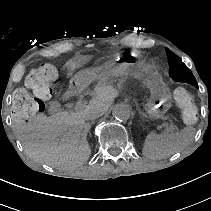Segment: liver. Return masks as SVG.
<instances>
[{
  "label": "liver",
  "mask_w": 211,
  "mask_h": 211,
  "mask_svg": "<svg viewBox=\"0 0 211 211\" xmlns=\"http://www.w3.org/2000/svg\"><path fill=\"white\" fill-rule=\"evenodd\" d=\"M76 77L70 85L83 76ZM92 95L90 105L106 112L120 96V90L114 84L99 85L94 87ZM91 126L81 109L72 115L59 112L50 117L32 118L29 122L19 121L13 131L30 158L54 168L71 170L85 164L92 153L87 139Z\"/></svg>",
  "instance_id": "1"
}]
</instances>
